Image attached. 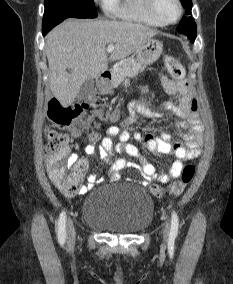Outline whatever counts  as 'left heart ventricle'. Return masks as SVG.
Segmentation results:
<instances>
[{
  "instance_id": "1",
  "label": "left heart ventricle",
  "mask_w": 233,
  "mask_h": 284,
  "mask_svg": "<svg viewBox=\"0 0 233 284\" xmlns=\"http://www.w3.org/2000/svg\"><path fill=\"white\" fill-rule=\"evenodd\" d=\"M157 10L160 17L165 21H172L178 12L174 0H158Z\"/></svg>"
}]
</instances>
